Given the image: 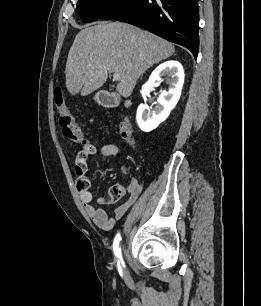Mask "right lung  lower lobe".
<instances>
[{"label":"right lung lower lobe","mask_w":261,"mask_h":306,"mask_svg":"<svg viewBox=\"0 0 261 306\" xmlns=\"http://www.w3.org/2000/svg\"><path fill=\"white\" fill-rule=\"evenodd\" d=\"M100 19L126 22L188 48L199 49L198 0H121Z\"/></svg>","instance_id":"right-lung-lower-lobe-1"}]
</instances>
